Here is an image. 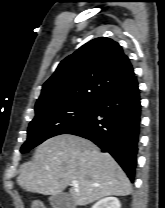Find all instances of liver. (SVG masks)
I'll return each mask as SVG.
<instances>
[{
	"mask_svg": "<svg viewBox=\"0 0 165 208\" xmlns=\"http://www.w3.org/2000/svg\"><path fill=\"white\" fill-rule=\"evenodd\" d=\"M72 181L79 183L70 189L79 206L131 193L128 177L110 154L85 138L69 134L43 142L18 177L21 188L43 195L60 194Z\"/></svg>",
	"mask_w": 165,
	"mask_h": 208,
	"instance_id": "1",
	"label": "liver"
}]
</instances>
